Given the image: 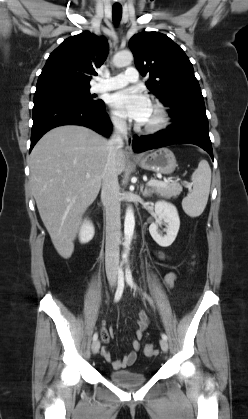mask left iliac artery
Segmentation results:
<instances>
[{
	"label": "left iliac artery",
	"instance_id": "obj_1",
	"mask_svg": "<svg viewBox=\"0 0 248 419\" xmlns=\"http://www.w3.org/2000/svg\"><path fill=\"white\" fill-rule=\"evenodd\" d=\"M126 281H127L128 285L131 286L132 288H134V289L137 288L134 281H133L132 273H131V270H130L129 267L126 268ZM145 297L148 299L150 304H152V300L150 299V297L146 294H145ZM161 336H162L163 339L167 340L166 334L162 333Z\"/></svg>",
	"mask_w": 248,
	"mask_h": 419
}]
</instances>
